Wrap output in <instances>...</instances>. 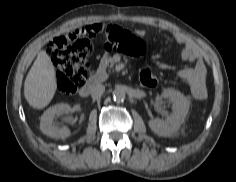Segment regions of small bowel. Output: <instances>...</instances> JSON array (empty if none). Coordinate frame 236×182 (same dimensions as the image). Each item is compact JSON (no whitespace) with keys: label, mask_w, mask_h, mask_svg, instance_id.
Here are the masks:
<instances>
[{"label":"small bowel","mask_w":236,"mask_h":182,"mask_svg":"<svg viewBox=\"0 0 236 182\" xmlns=\"http://www.w3.org/2000/svg\"><path fill=\"white\" fill-rule=\"evenodd\" d=\"M140 34L144 35V32L141 31ZM172 37L182 46V59L192 63L191 67L181 69L178 76L187 84L192 96L195 99L202 100L207 96V68L203 59V53L196 44L182 34L175 33Z\"/></svg>","instance_id":"small-bowel-1"}]
</instances>
